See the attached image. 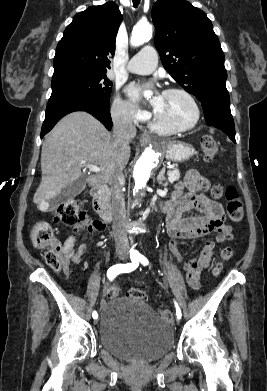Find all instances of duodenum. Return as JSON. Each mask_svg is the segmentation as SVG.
<instances>
[{
    "mask_svg": "<svg viewBox=\"0 0 267 391\" xmlns=\"http://www.w3.org/2000/svg\"><path fill=\"white\" fill-rule=\"evenodd\" d=\"M92 206L99 217L105 222L112 220V209L108 202V188L105 185H97L92 188Z\"/></svg>",
    "mask_w": 267,
    "mask_h": 391,
    "instance_id": "410a0bca",
    "label": "duodenum"
}]
</instances>
